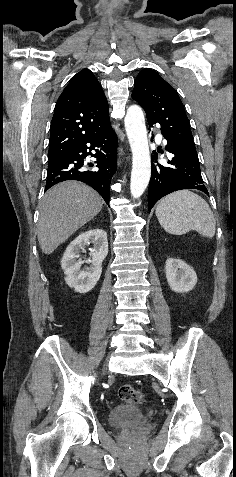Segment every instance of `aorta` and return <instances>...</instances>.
Returning <instances> with one entry per match:
<instances>
[{"label": "aorta", "mask_w": 236, "mask_h": 477, "mask_svg": "<svg viewBox=\"0 0 236 477\" xmlns=\"http://www.w3.org/2000/svg\"><path fill=\"white\" fill-rule=\"evenodd\" d=\"M124 124L132 151L130 191L133 198H139L147 188L151 176L150 151L142 108L130 106Z\"/></svg>", "instance_id": "762f6f07"}]
</instances>
